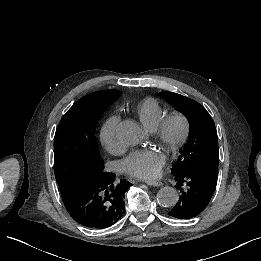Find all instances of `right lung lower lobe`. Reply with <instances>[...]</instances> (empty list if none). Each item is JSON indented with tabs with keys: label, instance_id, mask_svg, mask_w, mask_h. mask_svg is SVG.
<instances>
[{
	"label": "right lung lower lobe",
	"instance_id": "right-lung-lower-lobe-1",
	"mask_svg": "<svg viewBox=\"0 0 261 261\" xmlns=\"http://www.w3.org/2000/svg\"><path fill=\"white\" fill-rule=\"evenodd\" d=\"M115 174L103 171L95 178L74 177L61 191L69 215L79 224L103 229L115 224L123 215L124 193L130 184H114Z\"/></svg>",
	"mask_w": 261,
	"mask_h": 261
}]
</instances>
